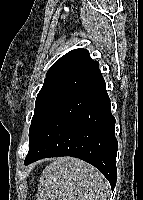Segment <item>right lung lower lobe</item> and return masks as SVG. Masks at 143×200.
Returning a JSON list of instances; mask_svg holds the SVG:
<instances>
[{"instance_id":"obj_1","label":"right lung lower lobe","mask_w":143,"mask_h":200,"mask_svg":"<svg viewBox=\"0 0 143 200\" xmlns=\"http://www.w3.org/2000/svg\"><path fill=\"white\" fill-rule=\"evenodd\" d=\"M115 118L105 81L95 62L55 87L33 116L26 165L47 157L71 156L97 167L116 185Z\"/></svg>"}]
</instances>
